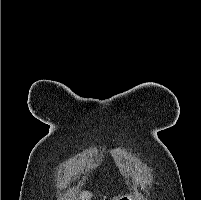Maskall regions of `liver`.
I'll list each match as a JSON object with an SVG mask.
<instances>
[{"mask_svg": "<svg viewBox=\"0 0 201 200\" xmlns=\"http://www.w3.org/2000/svg\"><path fill=\"white\" fill-rule=\"evenodd\" d=\"M91 197H92V193L88 191L82 192L80 195L81 200H90ZM113 200H118V198L115 197Z\"/></svg>", "mask_w": 201, "mask_h": 200, "instance_id": "obj_1", "label": "liver"}]
</instances>
